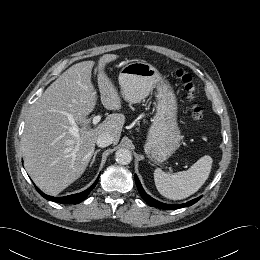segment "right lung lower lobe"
Masks as SVG:
<instances>
[{
	"instance_id": "98d812e1",
	"label": "right lung lower lobe",
	"mask_w": 260,
	"mask_h": 260,
	"mask_svg": "<svg viewBox=\"0 0 260 260\" xmlns=\"http://www.w3.org/2000/svg\"><path fill=\"white\" fill-rule=\"evenodd\" d=\"M98 181H95V183L89 187L87 190H85L84 192L78 193V194H73V195H69V196H65V197H52V196H48L45 195L41 190H39L37 187V191L46 199L54 201V202H58V203H63V204H78L81 201H83L88 194L93 190V188L96 186Z\"/></svg>"
}]
</instances>
